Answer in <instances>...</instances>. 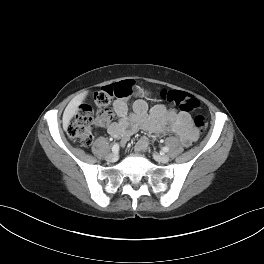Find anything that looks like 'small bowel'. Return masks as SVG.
I'll return each mask as SVG.
<instances>
[{
    "label": "small bowel",
    "instance_id": "c3829d8e",
    "mask_svg": "<svg viewBox=\"0 0 264 264\" xmlns=\"http://www.w3.org/2000/svg\"><path fill=\"white\" fill-rule=\"evenodd\" d=\"M117 121L108 126V132L122 142L128 140L137 130L143 129L151 133L165 131L176 134L184 146H190L197 138L191 117L186 112H177L157 105L148 111L147 103L138 99L134 102L132 111L129 112L127 101L117 99L113 103ZM148 138L141 137L136 143L138 152L146 151Z\"/></svg>",
    "mask_w": 264,
    "mask_h": 264
}]
</instances>
